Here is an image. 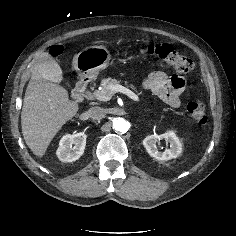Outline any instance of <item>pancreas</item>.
I'll return each mask as SVG.
<instances>
[{"label":"pancreas","mask_w":236,"mask_h":236,"mask_svg":"<svg viewBox=\"0 0 236 236\" xmlns=\"http://www.w3.org/2000/svg\"><path fill=\"white\" fill-rule=\"evenodd\" d=\"M120 82L121 81H119L117 79H113L111 77L103 79L101 81L102 90L94 92L93 93V97L96 98L95 94L97 92L103 93L104 95L112 96L115 92L111 90V86L120 85ZM131 86L134 87L133 85H131Z\"/></svg>","instance_id":"obj_1"}]
</instances>
